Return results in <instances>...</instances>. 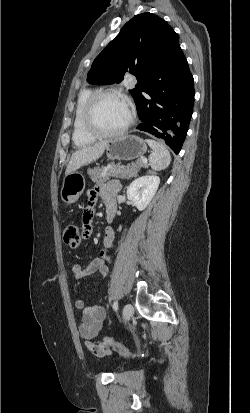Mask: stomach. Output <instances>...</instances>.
<instances>
[{"label": "stomach", "mask_w": 250, "mask_h": 413, "mask_svg": "<svg viewBox=\"0 0 250 413\" xmlns=\"http://www.w3.org/2000/svg\"><path fill=\"white\" fill-rule=\"evenodd\" d=\"M147 151L144 140L135 135H124L110 140L106 146V155L110 160H133L142 157ZM85 188V180L79 173L73 172L64 177L61 199L66 204L74 203Z\"/></svg>", "instance_id": "obj_1"}]
</instances>
